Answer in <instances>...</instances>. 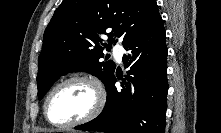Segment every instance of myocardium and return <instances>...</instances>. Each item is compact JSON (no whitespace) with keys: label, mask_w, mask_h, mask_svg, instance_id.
<instances>
[{"label":"myocardium","mask_w":221,"mask_h":133,"mask_svg":"<svg viewBox=\"0 0 221 133\" xmlns=\"http://www.w3.org/2000/svg\"><path fill=\"white\" fill-rule=\"evenodd\" d=\"M71 82H85L92 87V89L94 91V95H95V101H94L93 107L86 115H84L81 118H78L76 120H73V121H70L67 123H55V122L51 121L48 116L49 100L57 89H59L63 85L71 83ZM105 103H106V95H105V91H104V88L101 85V83L96 78H94L92 76H88V75H84V74H76V75H71L69 77L62 79L61 81L56 83L49 90V92L47 93L45 100H44L43 114H44L46 121L54 127H57V128L75 127V126L85 124L89 121H92L97 116H99V114L102 112V110L105 106Z\"/></svg>","instance_id":"f54148a6"}]
</instances>
